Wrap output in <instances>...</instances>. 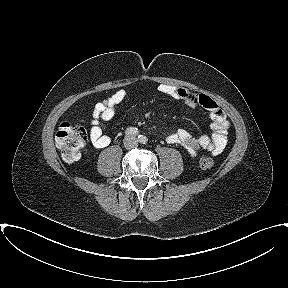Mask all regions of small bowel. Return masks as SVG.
Instances as JSON below:
<instances>
[{"instance_id":"1","label":"small bowel","mask_w":288,"mask_h":288,"mask_svg":"<svg viewBox=\"0 0 288 288\" xmlns=\"http://www.w3.org/2000/svg\"><path fill=\"white\" fill-rule=\"evenodd\" d=\"M158 90L175 100H181L190 108L202 107L206 109L211 118L213 133L210 137L207 135L195 137L187 130L179 129L166 137L168 143L181 145L192 157L200 151H208L213 155H218L225 149L230 123L224 111L211 97L205 94H194L186 88L169 84H160ZM126 97L127 92L119 90L94 106L90 140L96 148H104L110 144L111 138L108 135L106 123L114 117L117 107Z\"/></svg>"}]
</instances>
